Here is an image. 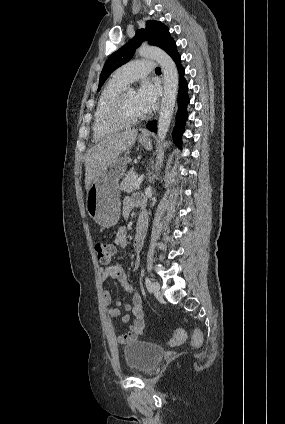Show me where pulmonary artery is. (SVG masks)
I'll return each instance as SVG.
<instances>
[{"instance_id":"1","label":"pulmonary artery","mask_w":285,"mask_h":424,"mask_svg":"<svg viewBox=\"0 0 285 424\" xmlns=\"http://www.w3.org/2000/svg\"><path fill=\"white\" fill-rule=\"evenodd\" d=\"M154 69V62L144 59L133 60L118 68L113 77L119 82L127 85L131 82L144 78Z\"/></svg>"}]
</instances>
